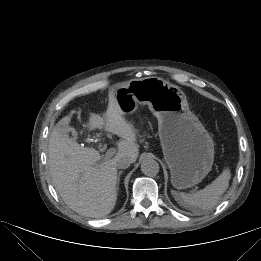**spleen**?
Wrapping results in <instances>:
<instances>
[{"mask_svg": "<svg viewBox=\"0 0 261 261\" xmlns=\"http://www.w3.org/2000/svg\"><path fill=\"white\" fill-rule=\"evenodd\" d=\"M230 177V170L226 169L204 189L194 194L173 192V196L179 204L198 214L200 211L209 210L217 204L221 195L228 188Z\"/></svg>", "mask_w": 261, "mask_h": 261, "instance_id": "1", "label": "spleen"}]
</instances>
